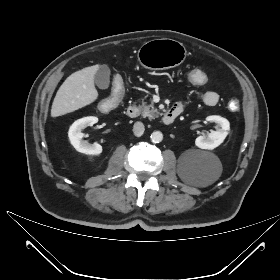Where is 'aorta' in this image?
I'll return each mask as SVG.
<instances>
[{"label":"aorta","instance_id":"obj_1","mask_svg":"<svg viewBox=\"0 0 280 280\" xmlns=\"http://www.w3.org/2000/svg\"><path fill=\"white\" fill-rule=\"evenodd\" d=\"M150 138L153 143H160L163 140V134L160 131H154Z\"/></svg>","mask_w":280,"mask_h":280}]
</instances>
